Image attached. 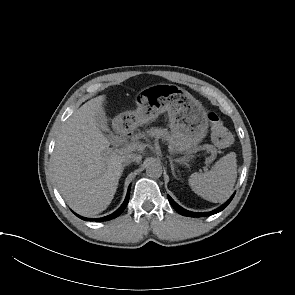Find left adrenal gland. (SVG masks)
I'll return each mask as SVG.
<instances>
[{
	"instance_id": "left-adrenal-gland-1",
	"label": "left adrenal gland",
	"mask_w": 295,
	"mask_h": 295,
	"mask_svg": "<svg viewBox=\"0 0 295 295\" xmlns=\"http://www.w3.org/2000/svg\"><path fill=\"white\" fill-rule=\"evenodd\" d=\"M169 161H170V167H171L172 175H173L176 179H179V178H177V175H176V173H175V168H174L173 160L171 159V157H169Z\"/></svg>"
}]
</instances>
